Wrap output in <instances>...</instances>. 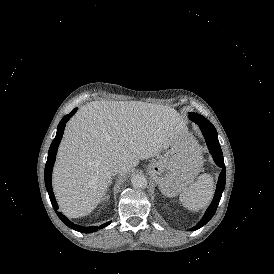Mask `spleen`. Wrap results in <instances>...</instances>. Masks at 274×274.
I'll use <instances>...</instances> for the list:
<instances>
[{
  "label": "spleen",
  "instance_id": "spleen-1",
  "mask_svg": "<svg viewBox=\"0 0 274 274\" xmlns=\"http://www.w3.org/2000/svg\"><path fill=\"white\" fill-rule=\"evenodd\" d=\"M195 147L200 150V147L195 144ZM201 159V156H198ZM214 193L213 180L210 175L202 174L189 187H187L181 194L180 200L183 206L196 210L207 206L212 199Z\"/></svg>",
  "mask_w": 274,
  "mask_h": 274
}]
</instances>
